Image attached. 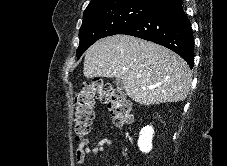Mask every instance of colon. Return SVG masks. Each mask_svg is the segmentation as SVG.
Returning <instances> with one entry per match:
<instances>
[{
  "label": "colon",
  "mask_w": 227,
  "mask_h": 166,
  "mask_svg": "<svg viewBox=\"0 0 227 166\" xmlns=\"http://www.w3.org/2000/svg\"><path fill=\"white\" fill-rule=\"evenodd\" d=\"M95 99L108 106L116 127L121 128L132 120V103L124 93L95 79L84 84L74 96L73 128L78 138L85 137L90 131Z\"/></svg>",
  "instance_id": "obj_1"
}]
</instances>
